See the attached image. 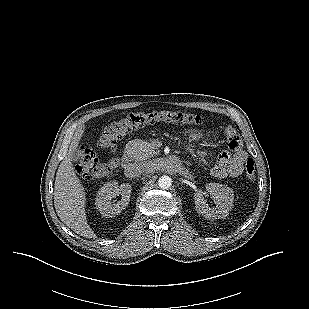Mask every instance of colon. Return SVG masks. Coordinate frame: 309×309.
Instances as JSON below:
<instances>
[{"label": "colon", "instance_id": "colon-1", "mask_svg": "<svg viewBox=\"0 0 309 309\" xmlns=\"http://www.w3.org/2000/svg\"><path fill=\"white\" fill-rule=\"evenodd\" d=\"M165 121L184 125H197L200 123V117L196 114L181 111H162L153 113H130L108 125L101 133L99 146L110 152H116V144L127 133L147 124ZM239 137L230 140L232 147H238ZM79 161L77 171L87 178L107 177L117 165V159L112 158L107 162H102L96 156L94 150L81 146L79 148ZM255 175V164L252 159H248L245 164V177L247 180H253Z\"/></svg>", "mask_w": 309, "mask_h": 309}]
</instances>
